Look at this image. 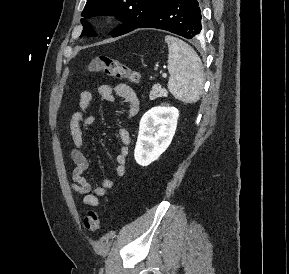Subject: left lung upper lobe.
I'll use <instances>...</instances> for the list:
<instances>
[{"label":"left lung upper lobe","instance_id":"obj_1","mask_svg":"<svg viewBox=\"0 0 289 274\" xmlns=\"http://www.w3.org/2000/svg\"><path fill=\"white\" fill-rule=\"evenodd\" d=\"M165 0H87L82 12L85 19L96 15H115L123 24L110 34L117 37L136 29L143 23ZM82 19L83 31L81 36H95L90 23Z\"/></svg>","mask_w":289,"mask_h":274}]
</instances>
